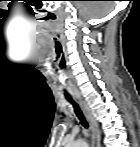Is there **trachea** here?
<instances>
[{"mask_svg":"<svg viewBox=\"0 0 140 147\" xmlns=\"http://www.w3.org/2000/svg\"><path fill=\"white\" fill-rule=\"evenodd\" d=\"M66 99L73 105L74 107V111L78 117V119L80 120V123L85 127L88 128V123L86 122L82 111L79 109L78 105L73 101L72 97L68 94H65Z\"/></svg>","mask_w":140,"mask_h":147,"instance_id":"trachea-1","label":"trachea"}]
</instances>
